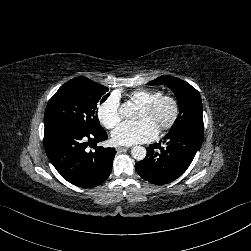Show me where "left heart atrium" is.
<instances>
[{
	"instance_id": "left-heart-atrium-1",
	"label": "left heart atrium",
	"mask_w": 251,
	"mask_h": 251,
	"mask_svg": "<svg viewBox=\"0 0 251 251\" xmlns=\"http://www.w3.org/2000/svg\"><path fill=\"white\" fill-rule=\"evenodd\" d=\"M158 132V125L150 118L137 122L125 121L113 131L112 141L116 145L146 143L154 140Z\"/></svg>"
}]
</instances>
